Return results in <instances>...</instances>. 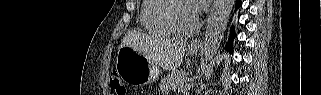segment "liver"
<instances>
[{"label": "liver", "mask_w": 321, "mask_h": 95, "mask_svg": "<svg viewBox=\"0 0 321 95\" xmlns=\"http://www.w3.org/2000/svg\"><path fill=\"white\" fill-rule=\"evenodd\" d=\"M124 46L132 47L164 69L174 70L182 63L187 42L169 38L153 39L142 32L129 30L120 45Z\"/></svg>", "instance_id": "6515ba94"}]
</instances>
